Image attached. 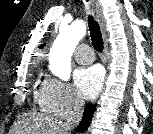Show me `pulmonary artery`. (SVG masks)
Wrapping results in <instances>:
<instances>
[{"label": "pulmonary artery", "instance_id": "obj_1", "mask_svg": "<svg viewBox=\"0 0 153 134\" xmlns=\"http://www.w3.org/2000/svg\"><path fill=\"white\" fill-rule=\"evenodd\" d=\"M74 57L81 64H89L94 60L93 52L87 44L79 45L74 52Z\"/></svg>", "mask_w": 153, "mask_h": 134}]
</instances>
